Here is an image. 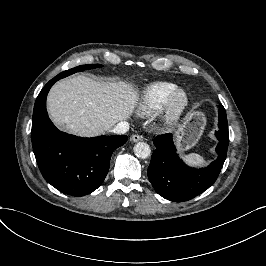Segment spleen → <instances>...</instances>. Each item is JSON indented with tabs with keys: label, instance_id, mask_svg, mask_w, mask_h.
<instances>
[{
	"label": "spleen",
	"instance_id": "1",
	"mask_svg": "<svg viewBox=\"0 0 266 266\" xmlns=\"http://www.w3.org/2000/svg\"><path fill=\"white\" fill-rule=\"evenodd\" d=\"M183 159L189 166H205L206 165V161L204 160V158L196 153H190L188 155H185Z\"/></svg>",
	"mask_w": 266,
	"mask_h": 266
}]
</instances>
